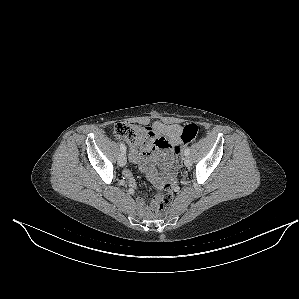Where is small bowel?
<instances>
[{"mask_svg":"<svg viewBox=\"0 0 299 299\" xmlns=\"http://www.w3.org/2000/svg\"><path fill=\"white\" fill-rule=\"evenodd\" d=\"M148 128V135L141 146L129 145V158L134 164L140 166V170L156 186L161 187L163 182L171 180L174 176V147L181 141L182 126L179 124H164L154 122ZM160 166V171L157 169ZM132 188L135 187L130 171H124ZM137 208L147 212L142 198L136 201Z\"/></svg>","mask_w":299,"mask_h":299,"instance_id":"small-bowel-1","label":"small bowel"}]
</instances>
